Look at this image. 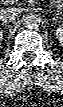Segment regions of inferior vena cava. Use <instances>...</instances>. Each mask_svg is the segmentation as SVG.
Masks as SVG:
<instances>
[{
	"label": "inferior vena cava",
	"mask_w": 63,
	"mask_h": 107,
	"mask_svg": "<svg viewBox=\"0 0 63 107\" xmlns=\"http://www.w3.org/2000/svg\"><path fill=\"white\" fill-rule=\"evenodd\" d=\"M17 15L16 8H4L0 11V21L2 23H10L16 19Z\"/></svg>",
	"instance_id": "obj_1"
}]
</instances>
